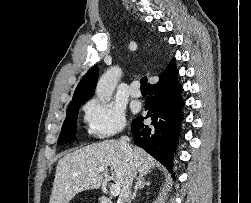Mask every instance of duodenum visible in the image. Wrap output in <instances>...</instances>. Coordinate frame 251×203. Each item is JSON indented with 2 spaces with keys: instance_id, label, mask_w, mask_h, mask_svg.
Segmentation results:
<instances>
[{
  "instance_id": "duodenum-1",
  "label": "duodenum",
  "mask_w": 251,
  "mask_h": 203,
  "mask_svg": "<svg viewBox=\"0 0 251 203\" xmlns=\"http://www.w3.org/2000/svg\"><path fill=\"white\" fill-rule=\"evenodd\" d=\"M99 200H100V203H113L112 200H110L108 197H106V196H104V195H102V196L99 198Z\"/></svg>"
}]
</instances>
